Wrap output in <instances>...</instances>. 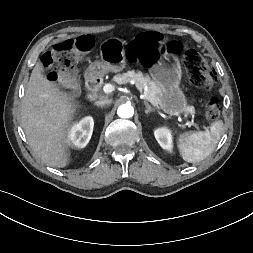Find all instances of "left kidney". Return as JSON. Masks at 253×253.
<instances>
[{
    "label": "left kidney",
    "instance_id": "1",
    "mask_svg": "<svg viewBox=\"0 0 253 253\" xmlns=\"http://www.w3.org/2000/svg\"><path fill=\"white\" fill-rule=\"evenodd\" d=\"M155 138L159 145L167 150L172 151L173 149V141H172V135L169 129L167 128H159L155 130L154 132Z\"/></svg>",
    "mask_w": 253,
    "mask_h": 253
}]
</instances>
